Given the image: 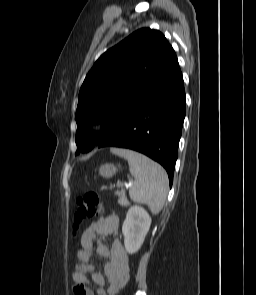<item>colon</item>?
Returning <instances> with one entry per match:
<instances>
[{
    "mask_svg": "<svg viewBox=\"0 0 256 295\" xmlns=\"http://www.w3.org/2000/svg\"><path fill=\"white\" fill-rule=\"evenodd\" d=\"M77 211L74 216V227L78 229L85 219L100 217L104 204L96 192L90 191L76 199Z\"/></svg>",
    "mask_w": 256,
    "mask_h": 295,
    "instance_id": "obj_1",
    "label": "colon"
}]
</instances>
